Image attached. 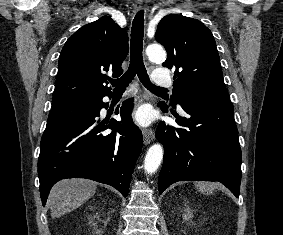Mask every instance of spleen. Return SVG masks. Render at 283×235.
Here are the masks:
<instances>
[{
  "label": "spleen",
  "mask_w": 283,
  "mask_h": 235,
  "mask_svg": "<svg viewBox=\"0 0 283 235\" xmlns=\"http://www.w3.org/2000/svg\"><path fill=\"white\" fill-rule=\"evenodd\" d=\"M199 190L204 193V192H207V193H212L216 184H213V183H205V182H197L195 184Z\"/></svg>",
  "instance_id": "1"
}]
</instances>
